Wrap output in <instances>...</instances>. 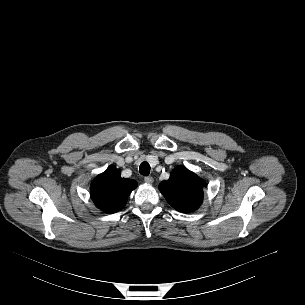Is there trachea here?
<instances>
[{
	"mask_svg": "<svg viewBox=\"0 0 305 305\" xmlns=\"http://www.w3.org/2000/svg\"><path fill=\"white\" fill-rule=\"evenodd\" d=\"M141 175L148 176L150 174V165L148 162H142L139 167Z\"/></svg>",
	"mask_w": 305,
	"mask_h": 305,
	"instance_id": "1",
	"label": "trachea"
}]
</instances>
